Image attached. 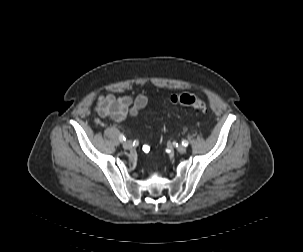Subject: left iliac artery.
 Instances as JSON below:
<instances>
[{"label":"left iliac artery","instance_id":"44dca946","mask_svg":"<svg viewBox=\"0 0 303 252\" xmlns=\"http://www.w3.org/2000/svg\"><path fill=\"white\" fill-rule=\"evenodd\" d=\"M182 145L185 146V147H187L189 145V142L187 140H183L182 141Z\"/></svg>","mask_w":303,"mask_h":252}]
</instances>
